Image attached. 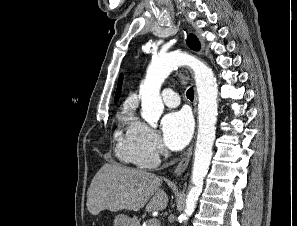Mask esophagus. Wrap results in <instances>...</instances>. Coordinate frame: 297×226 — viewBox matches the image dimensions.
<instances>
[{"label": "esophagus", "mask_w": 297, "mask_h": 226, "mask_svg": "<svg viewBox=\"0 0 297 226\" xmlns=\"http://www.w3.org/2000/svg\"><path fill=\"white\" fill-rule=\"evenodd\" d=\"M192 150H193V145H190V147L184 154L183 158L181 159V161L178 163V165L175 168V171H174L175 176H180L187 168L190 158L192 156Z\"/></svg>", "instance_id": "34e87169"}]
</instances>
